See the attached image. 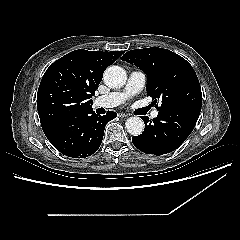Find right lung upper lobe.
<instances>
[{"instance_id":"cb5924a9","label":"right lung upper lobe","mask_w":240,"mask_h":240,"mask_svg":"<svg viewBox=\"0 0 240 240\" xmlns=\"http://www.w3.org/2000/svg\"><path fill=\"white\" fill-rule=\"evenodd\" d=\"M122 54L123 51L78 49L51 64L37 93V109L43 131L93 111L91 97L105 69Z\"/></svg>"}]
</instances>
